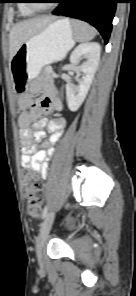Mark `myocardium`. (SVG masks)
<instances>
[{
    "label": "myocardium",
    "mask_w": 136,
    "mask_h": 296,
    "mask_svg": "<svg viewBox=\"0 0 136 296\" xmlns=\"http://www.w3.org/2000/svg\"><path fill=\"white\" fill-rule=\"evenodd\" d=\"M26 1L28 2V6L35 11H41L48 8V5L36 3L35 0H26Z\"/></svg>",
    "instance_id": "1"
}]
</instances>
